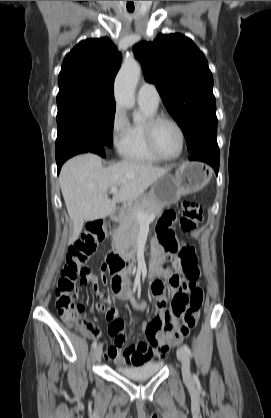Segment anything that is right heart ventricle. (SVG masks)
Wrapping results in <instances>:
<instances>
[{"mask_svg": "<svg viewBox=\"0 0 271 418\" xmlns=\"http://www.w3.org/2000/svg\"><path fill=\"white\" fill-rule=\"evenodd\" d=\"M140 111L143 116L142 121L132 122L126 126L124 142L120 149V153L123 158L130 161L148 163L159 162L161 159L151 152L145 136L146 122L156 115L157 108L140 104Z\"/></svg>", "mask_w": 271, "mask_h": 418, "instance_id": "1", "label": "right heart ventricle"}]
</instances>
